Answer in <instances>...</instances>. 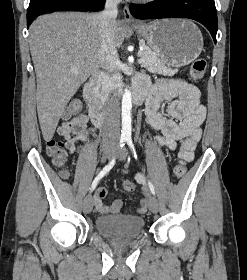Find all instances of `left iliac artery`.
I'll use <instances>...</instances> for the list:
<instances>
[{
	"label": "left iliac artery",
	"mask_w": 247,
	"mask_h": 280,
	"mask_svg": "<svg viewBox=\"0 0 247 280\" xmlns=\"http://www.w3.org/2000/svg\"><path fill=\"white\" fill-rule=\"evenodd\" d=\"M126 142H127L128 146L130 147V149H131L135 159H137V152H136V149L134 147V144H133L132 139H131L130 136H128L126 138ZM149 188H150L151 193L153 195H155V189H154V186H153V184L151 182H149Z\"/></svg>",
	"instance_id": "obj_1"
}]
</instances>
